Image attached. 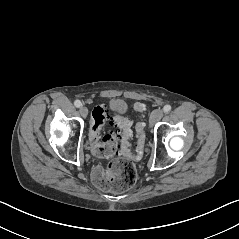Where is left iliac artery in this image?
<instances>
[{
  "mask_svg": "<svg viewBox=\"0 0 239 239\" xmlns=\"http://www.w3.org/2000/svg\"><path fill=\"white\" fill-rule=\"evenodd\" d=\"M163 111H164L165 113L170 112V111H171V106H170V105H165V106L163 107Z\"/></svg>",
  "mask_w": 239,
  "mask_h": 239,
  "instance_id": "44dca946",
  "label": "left iliac artery"
}]
</instances>
